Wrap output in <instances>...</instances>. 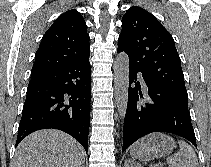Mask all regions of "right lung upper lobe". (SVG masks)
I'll use <instances>...</instances> for the list:
<instances>
[{"label":"right lung upper lobe","mask_w":211,"mask_h":167,"mask_svg":"<svg viewBox=\"0 0 211 167\" xmlns=\"http://www.w3.org/2000/svg\"><path fill=\"white\" fill-rule=\"evenodd\" d=\"M89 39L86 22L78 11L61 14L39 45L31 77L88 59Z\"/></svg>","instance_id":"1"}]
</instances>
